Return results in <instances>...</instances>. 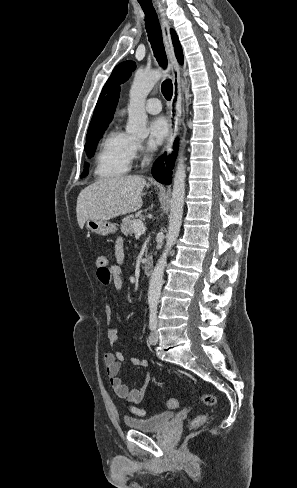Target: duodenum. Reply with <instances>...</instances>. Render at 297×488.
Returning <instances> with one entry per match:
<instances>
[{
    "label": "duodenum",
    "instance_id": "1",
    "mask_svg": "<svg viewBox=\"0 0 297 488\" xmlns=\"http://www.w3.org/2000/svg\"><path fill=\"white\" fill-rule=\"evenodd\" d=\"M153 269V258L151 256L147 257L143 264V270L146 274L151 273Z\"/></svg>",
    "mask_w": 297,
    "mask_h": 488
}]
</instances>
